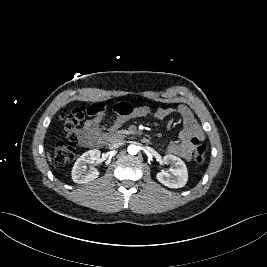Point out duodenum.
<instances>
[{"mask_svg": "<svg viewBox=\"0 0 267 267\" xmlns=\"http://www.w3.org/2000/svg\"><path fill=\"white\" fill-rule=\"evenodd\" d=\"M121 141V137L118 135H112L110 137L107 138V143H109V145H115L118 142ZM143 143L148 144L149 143V139L148 138H143Z\"/></svg>", "mask_w": 267, "mask_h": 267, "instance_id": "410a0bca", "label": "duodenum"}]
</instances>
